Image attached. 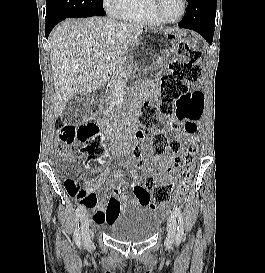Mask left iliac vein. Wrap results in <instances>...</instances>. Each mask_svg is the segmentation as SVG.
Wrapping results in <instances>:
<instances>
[{
  "instance_id": "obj_1",
  "label": "left iliac vein",
  "mask_w": 265,
  "mask_h": 273,
  "mask_svg": "<svg viewBox=\"0 0 265 273\" xmlns=\"http://www.w3.org/2000/svg\"><path fill=\"white\" fill-rule=\"evenodd\" d=\"M177 232V220L174 215H171L168 219V234L165 244L168 248H171L174 244Z\"/></svg>"
}]
</instances>
